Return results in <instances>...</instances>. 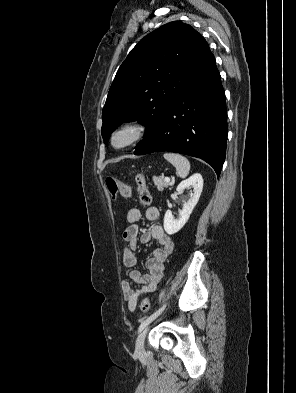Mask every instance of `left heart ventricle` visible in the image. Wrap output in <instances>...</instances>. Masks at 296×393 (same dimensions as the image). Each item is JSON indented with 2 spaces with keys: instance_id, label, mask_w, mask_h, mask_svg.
<instances>
[{
  "instance_id": "obj_1",
  "label": "left heart ventricle",
  "mask_w": 296,
  "mask_h": 393,
  "mask_svg": "<svg viewBox=\"0 0 296 393\" xmlns=\"http://www.w3.org/2000/svg\"><path fill=\"white\" fill-rule=\"evenodd\" d=\"M128 138H129L128 133H126V132L120 133L116 136L115 143L117 145H121V144L125 143L128 140Z\"/></svg>"
}]
</instances>
